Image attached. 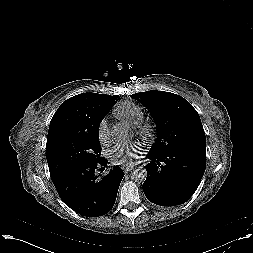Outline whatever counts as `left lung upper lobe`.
<instances>
[{"label":"left lung upper lobe","mask_w":253,"mask_h":253,"mask_svg":"<svg viewBox=\"0 0 253 253\" xmlns=\"http://www.w3.org/2000/svg\"><path fill=\"white\" fill-rule=\"evenodd\" d=\"M151 113L157 128V140L149 152L163 154L180 147L206 149L205 132L194 107L183 97L150 90L130 95Z\"/></svg>","instance_id":"left-lung-upper-lobe-1"}]
</instances>
